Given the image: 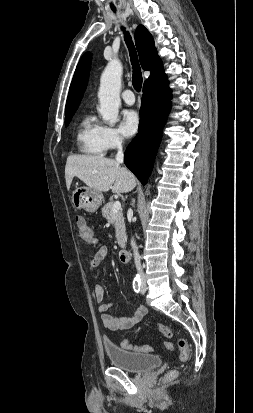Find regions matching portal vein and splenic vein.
I'll list each match as a JSON object with an SVG mask.
<instances>
[{
  "instance_id": "18ae733b",
  "label": "portal vein and splenic vein",
  "mask_w": 253,
  "mask_h": 413,
  "mask_svg": "<svg viewBox=\"0 0 253 413\" xmlns=\"http://www.w3.org/2000/svg\"><path fill=\"white\" fill-rule=\"evenodd\" d=\"M121 209V203L119 201H115L112 207V212L115 214Z\"/></svg>"
}]
</instances>
